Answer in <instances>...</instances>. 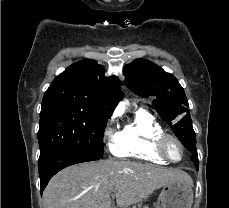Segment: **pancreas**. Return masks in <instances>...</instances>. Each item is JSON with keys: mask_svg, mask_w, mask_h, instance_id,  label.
<instances>
[{"mask_svg": "<svg viewBox=\"0 0 229 208\" xmlns=\"http://www.w3.org/2000/svg\"><path fill=\"white\" fill-rule=\"evenodd\" d=\"M143 208H148V206H143Z\"/></svg>", "mask_w": 229, "mask_h": 208, "instance_id": "pancreas-1", "label": "pancreas"}]
</instances>
